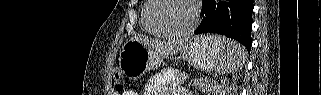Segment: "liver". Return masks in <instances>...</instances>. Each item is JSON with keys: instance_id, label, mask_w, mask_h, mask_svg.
I'll return each mask as SVG.
<instances>
[{"instance_id": "1", "label": "liver", "mask_w": 321, "mask_h": 95, "mask_svg": "<svg viewBox=\"0 0 321 95\" xmlns=\"http://www.w3.org/2000/svg\"><path fill=\"white\" fill-rule=\"evenodd\" d=\"M131 40H136L145 45L150 50L161 54L163 56H170L177 54L182 50L184 45L186 44V40H173V41H158L153 40L151 38L135 35L131 38Z\"/></svg>"}]
</instances>
